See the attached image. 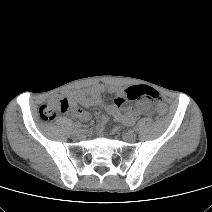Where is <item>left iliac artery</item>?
Returning <instances> with one entry per match:
<instances>
[{"label":"left iliac artery","mask_w":212,"mask_h":212,"mask_svg":"<svg viewBox=\"0 0 212 212\" xmlns=\"http://www.w3.org/2000/svg\"><path fill=\"white\" fill-rule=\"evenodd\" d=\"M138 130V128L137 127H134V131H137Z\"/></svg>","instance_id":"left-iliac-artery-1"}]
</instances>
